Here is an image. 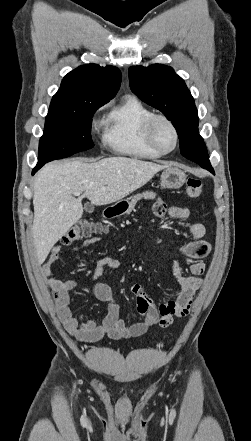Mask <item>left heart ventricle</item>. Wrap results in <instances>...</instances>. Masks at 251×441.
<instances>
[{
    "label": "left heart ventricle",
    "instance_id": "obj_1",
    "mask_svg": "<svg viewBox=\"0 0 251 441\" xmlns=\"http://www.w3.org/2000/svg\"><path fill=\"white\" fill-rule=\"evenodd\" d=\"M155 136L157 143L164 150H170L175 143L172 129L164 122H159L157 124Z\"/></svg>",
    "mask_w": 251,
    "mask_h": 441
}]
</instances>
